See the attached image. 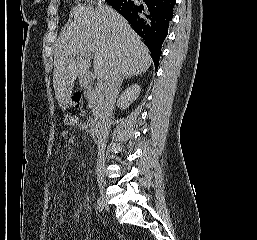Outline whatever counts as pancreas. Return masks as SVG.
<instances>
[{"mask_svg":"<svg viewBox=\"0 0 257 240\" xmlns=\"http://www.w3.org/2000/svg\"><path fill=\"white\" fill-rule=\"evenodd\" d=\"M84 96L88 100L89 107L96 110H100L102 108L103 95L100 90L93 89L91 86L86 85Z\"/></svg>","mask_w":257,"mask_h":240,"instance_id":"cf45deb5","label":"pancreas"}]
</instances>
